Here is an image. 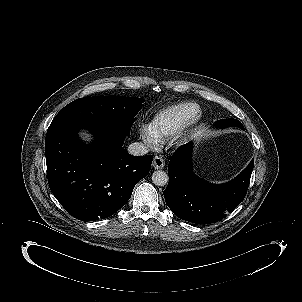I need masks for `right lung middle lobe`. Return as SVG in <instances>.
Returning <instances> with one entry per match:
<instances>
[{"mask_svg":"<svg viewBox=\"0 0 302 302\" xmlns=\"http://www.w3.org/2000/svg\"><path fill=\"white\" fill-rule=\"evenodd\" d=\"M143 102L138 98L120 96L80 98L61 109L49 128L71 122L102 123L129 136L134 117Z\"/></svg>","mask_w":302,"mask_h":302,"instance_id":"obj_1","label":"right lung middle lobe"}]
</instances>
